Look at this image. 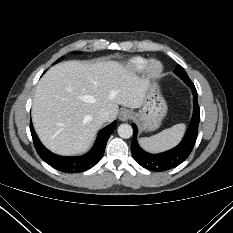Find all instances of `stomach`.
I'll use <instances>...</instances> for the list:
<instances>
[{
    "mask_svg": "<svg viewBox=\"0 0 233 233\" xmlns=\"http://www.w3.org/2000/svg\"><path fill=\"white\" fill-rule=\"evenodd\" d=\"M167 113V104L160 93L159 86L151 83L146 91L141 109L135 114L141 130H156Z\"/></svg>",
    "mask_w": 233,
    "mask_h": 233,
    "instance_id": "stomach-1",
    "label": "stomach"
}]
</instances>
